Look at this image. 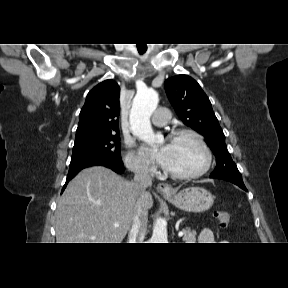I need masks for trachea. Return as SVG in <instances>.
Wrapping results in <instances>:
<instances>
[{"label":"trachea","mask_w":288,"mask_h":288,"mask_svg":"<svg viewBox=\"0 0 288 288\" xmlns=\"http://www.w3.org/2000/svg\"><path fill=\"white\" fill-rule=\"evenodd\" d=\"M147 48L140 49L138 48V52L140 55H143L146 52Z\"/></svg>","instance_id":"3493384b"}]
</instances>
